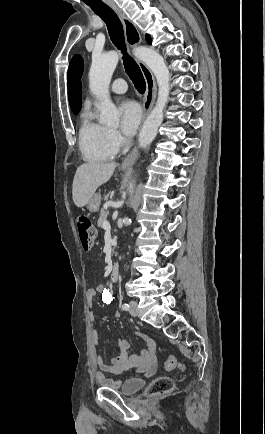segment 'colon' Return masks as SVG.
Segmentation results:
<instances>
[{
    "label": "colon",
    "mask_w": 265,
    "mask_h": 434,
    "mask_svg": "<svg viewBox=\"0 0 265 434\" xmlns=\"http://www.w3.org/2000/svg\"><path fill=\"white\" fill-rule=\"evenodd\" d=\"M76 227L79 240L83 250H90L97 241V232L93 221L89 216H78L76 218ZM179 369L184 372L183 365L175 357H170L165 362V370L171 371ZM174 388V382L166 376H157L152 382L148 383V393L150 395L169 393Z\"/></svg>",
    "instance_id": "5ec220e1"
}]
</instances>
